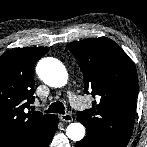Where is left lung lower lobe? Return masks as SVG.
<instances>
[{
  "label": "left lung lower lobe",
  "instance_id": "0a47b994",
  "mask_svg": "<svg viewBox=\"0 0 147 147\" xmlns=\"http://www.w3.org/2000/svg\"><path fill=\"white\" fill-rule=\"evenodd\" d=\"M75 147H112L102 140L95 132L86 131V136L76 143Z\"/></svg>",
  "mask_w": 147,
  "mask_h": 147
}]
</instances>
